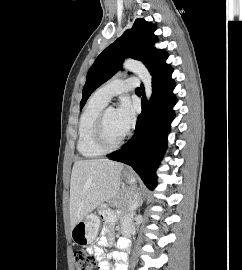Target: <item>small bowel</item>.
I'll return each instance as SVG.
<instances>
[{
    "label": "small bowel",
    "instance_id": "small-bowel-1",
    "mask_svg": "<svg viewBox=\"0 0 242 270\" xmlns=\"http://www.w3.org/2000/svg\"><path fill=\"white\" fill-rule=\"evenodd\" d=\"M106 227L102 231L99 242L89 248V252L93 254L99 262V270H126L125 261L126 255L123 252H112L108 256L104 255L103 249L105 247L112 246L114 243V237L112 235V227L118 221V217L111 212H105L103 215ZM122 233L124 238L118 241L120 248H126L129 244L128 235L131 233L132 225L128 218L120 220ZM116 261L114 266H111V261Z\"/></svg>",
    "mask_w": 242,
    "mask_h": 270
}]
</instances>
